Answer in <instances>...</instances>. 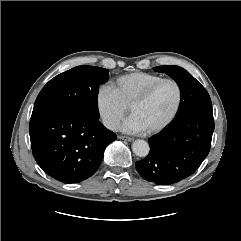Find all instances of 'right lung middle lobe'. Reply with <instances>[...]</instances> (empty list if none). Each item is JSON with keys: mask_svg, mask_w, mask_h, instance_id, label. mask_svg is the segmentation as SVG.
<instances>
[{"mask_svg": "<svg viewBox=\"0 0 241 241\" xmlns=\"http://www.w3.org/2000/svg\"><path fill=\"white\" fill-rule=\"evenodd\" d=\"M108 80V70L77 66L51 79L39 93L32 112L73 111L99 118L98 87Z\"/></svg>", "mask_w": 241, "mask_h": 241, "instance_id": "obj_1", "label": "right lung middle lobe"}]
</instances>
